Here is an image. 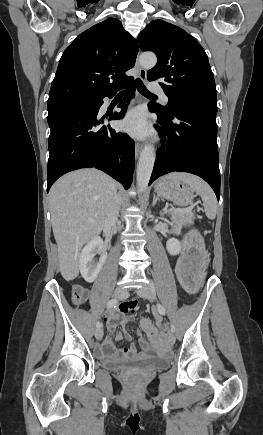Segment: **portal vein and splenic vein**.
<instances>
[{
	"instance_id": "obj_1",
	"label": "portal vein and splenic vein",
	"mask_w": 263,
	"mask_h": 435,
	"mask_svg": "<svg viewBox=\"0 0 263 435\" xmlns=\"http://www.w3.org/2000/svg\"><path fill=\"white\" fill-rule=\"evenodd\" d=\"M192 209H193V205H191V206H189V207H187V208H185V209H177V210H179V211L189 212V211H192Z\"/></svg>"
}]
</instances>
